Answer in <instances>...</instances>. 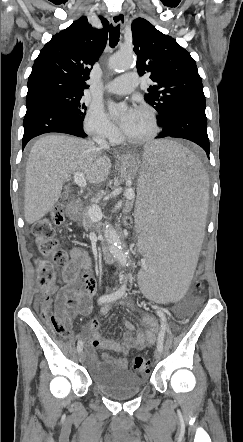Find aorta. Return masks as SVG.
<instances>
[{"instance_id": "obj_1", "label": "aorta", "mask_w": 243, "mask_h": 442, "mask_svg": "<svg viewBox=\"0 0 243 442\" xmlns=\"http://www.w3.org/2000/svg\"><path fill=\"white\" fill-rule=\"evenodd\" d=\"M135 65L132 52H119L114 54L109 60V68L113 72L128 70ZM110 113H117L126 108L124 103L116 104L113 101L108 102ZM105 238L110 245V250L114 257L120 262H127L128 253L125 251L120 236L112 225H108L104 232Z\"/></svg>"}]
</instances>
